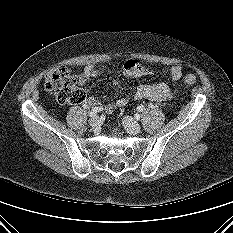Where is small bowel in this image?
<instances>
[{"instance_id":"small-bowel-1","label":"small bowel","mask_w":233,"mask_h":233,"mask_svg":"<svg viewBox=\"0 0 233 233\" xmlns=\"http://www.w3.org/2000/svg\"><path fill=\"white\" fill-rule=\"evenodd\" d=\"M104 73L103 69L96 68L92 65L87 66L83 72L78 76V84L83 86L91 78L99 76ZM122 73L126 78H141L152 74V71L147 69L144 65L136 62L132 58H128L122 65ZM170 79L174 82L182 77V68L180 66H172L169 69ZM111 85L120 87L118 80H112ZM172 97L170 87L164 82H157L154 84H141L136 88L132 97H120L104 106H101L106 112H112L117 108L126 106L131 100L148 99L154 102L167 101ZM85 105L88 107H96L99 102L94 97H88L85 100Z\"/></svg>"}]
</instances>
